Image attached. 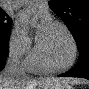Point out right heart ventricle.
I'll return each instance as SVG.
<instances>
[{"label": "right heart ventricle", "instance_id": "right-heart-ventricle-1", "mask_svg": "<svg viewBox=\"0 0 89 89\" xmlns=\"http://www.w3.org/2000/svg\"><path fill=\"white\" fill-rule=\"evenodd\" d=\"M25 66L29 71L44 72L47 71L36 52L29 55L25 61Z\"/></svg>", "mask_w": 89, "mask_h": 89}]
</instances>
